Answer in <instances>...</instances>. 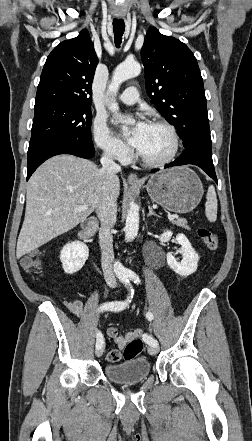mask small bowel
<instances>
[{"label": "small bowel", "instance_id": "1", "mask_svg": "<svg viewBox=\"0 0 252 441\" xmlns=\"http://www.w3.org/2000/svg\"><path fill=\"white\" fill-rule=\"evenodd\" d=\"M65 305L76 317H81L83 315V303L79 299H72ZM106 333L119 349H124L130 341L141 337L142 330L134 329L125 334H121L117 327H109Z\"/></svg>", "mask_w": 252, "mask_h": 441}]
</instances>
